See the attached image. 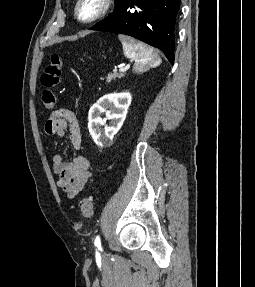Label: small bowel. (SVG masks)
Masks as SVG:
<instances>
[{"label":"small bowel","mask_w":255,"mask_h":287,"mask_svg":"<svg viewBox=\"0 0 255 287\" xmlns=\"http://www.w3.org/2000/svg\"><path fill=\"white\" fill-rule=\"evenodd\" d=\"M67 131L71 145L79 149L82 137L77 117L73 111L61 108L50 115L45 124V132L63 139ZM52 160V171L58 176L57 186L67 197H75L91 177L89 160L82 155H74L70 160H66L61 153L55 154Z\"/></svg>","instance_id":"1"}]
</instances>
